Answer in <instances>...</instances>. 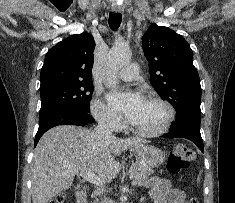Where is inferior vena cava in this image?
<instances>
[{
    "label": "inferior vena cava",
    "instance_id": "inferior-vena-cava-1",
    "mask_svg": "<svg viewBox=\"0 0 235 203\" xmlns=\"http://www.w3.org/2000/svg\"><path fill=\"white\" fill-rule=\"evenodd\" d=\"M95 131L103 138L112 139V131L110 128V120L108 118H103L99 121L98 126L95 128ZM101 203H108V200L104 198Z\"/></svg>",
    "mask_w": 235,
    "mask_h": 203
}]
</instances>
